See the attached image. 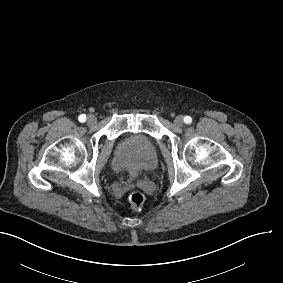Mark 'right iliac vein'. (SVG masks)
Returning <instances> with one entry per match:
<instances>
[{
  "label": "right iliac vein",
  "instance_id": "1",
  "mask_svg": "<svg viewBox=\"0 0 283 283\" xmlns=\"http://www.w3.org/2000/svg\"><path fill=\"white\" fill-rule=\"evenodd\" d=\"M87 123L90 124V125L96 123V118H95V116H94V115H88V117H87Z\"/></svg>",
  "mask_w": 283,
  "mask_h": 283
}]
</instances>
